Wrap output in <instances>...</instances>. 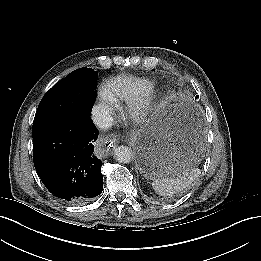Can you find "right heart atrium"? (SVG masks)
Here are the masks:
<instances>
[{
	"instance_id": "1",
	"label": "right heart atrium",
	"mask_w": 261,
	"mask_h": 261,
	"mask_svg": "<svg viewBox=\"0 0 261 261\" xmlns=\"http://www.w3.org/2000/svg\"><path fill=\"white\" fill-rule=\"evenodd\" d=\"M115 107V100L106 90H104L101 94L100 103L97 106L98 115L102 116L104 121H108L114 114Z\"/></svg>"
}]
</instances>
